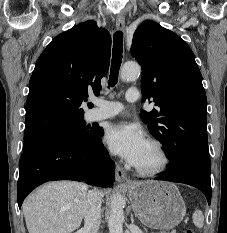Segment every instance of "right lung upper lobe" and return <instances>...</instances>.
Listing matches in <instances>:
<instances>
[{
    "mask_svg": "<svg viewBox=\"0 0 227 233\" xmlns=\"http://www.w3.org/2000/svg\"><path fill=\"white\" fill-rule=\"evenodd\" d=\"M111 37L95 21L55 37L38 58L29 82L25 133L34 134L83 117L88 92L99 93Z\"/></svg>",
    "mask_w": 227,
    "mask_h": 233,
    "instance_id": "1",
    "label": "right lung upper lobe"
}]
</instances>
